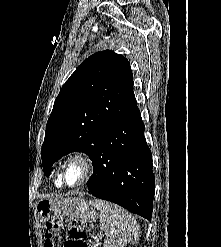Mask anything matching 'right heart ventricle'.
Returning <instances> with one entry per match:
<instances>
[{
	"label": "right heart ventricle",
	"mask_w": 221,
	"mask_h": 247,
	"mask_svg": "<svg viewBox=\"0 0 221 247\" xmlns=\"http://www.w3.org/2000/svg\"><path fill=\"white\" fill-rule=\"evenodd\" d=\"M55 183L57 186H60L61 185L60 179H57Z\"/></svg>",
	"instance_id": "obj_1"
}]
</instances>
